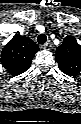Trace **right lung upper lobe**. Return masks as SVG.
<instances>
[{
    "instance_id": "right-lung-upper-lobe-1",
    "label": "right lung upper lobe",
    "mask_w": 81,
    "mask_h": 124,
    "mask_svg": "<svg viewBox=\"0 0 81 124\" xmlns=\"http://www.w3.org/2000/svg\"><path fill=\"white\" fill-rule=\"evenodd\" d=\"M38 50L30 38L16 34L3 48L0 61L10 75H20L29 69Z\"/></svg>"
}]
</instances>
